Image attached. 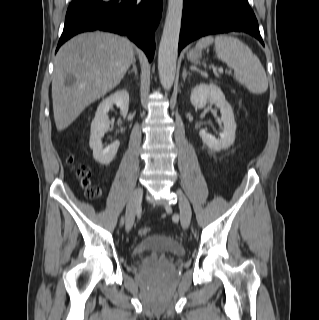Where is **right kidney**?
I'll use <instances>...</instances> for the list:
<instances>
[{"label":"right kidney","instance_id":"1","mask_svg":"<svg viewBox=\"0 0 319 320\" xmlns=\"http://www.w3.org/2000/svg\"><path fill=\"white\" fill-rule=\"evenodd\" d=\"M114 104L120 109L122 116L126 117L129 107V94L126 89L118 90L103 99L91 123L89 146L93 150L94 159L102 165H108L112 162L120 146L119 141H114L106 148H103L102 145V138L109 129L108 112Z\"/></svg>","mask_w":319,"mask_h":320}]
</instances>
